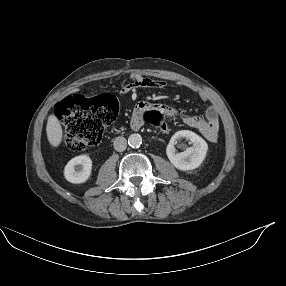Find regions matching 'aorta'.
<instances>
[{"label":"aorta","mask_w":286,"mask_h":286,"mask_svg":"<svg viewBox=\"0 0 286 286\" xmlns=\"http://www.w3.org/2000/svg\"><path fill=\"white\" fill-rule=\"evenodd\" d=\"M128 144L133 148H138L142 144V137L140 134H131L128 138Z\"/></svg>","instance_id":"762f6f07"}]
</instances>
